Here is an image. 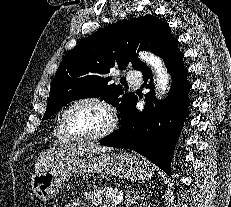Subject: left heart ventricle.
Returning <instances> with one entry per match:
<instances>
[{"instance_id": "b2bd125f", "label": "left heart ventricle", "mask_w": 231, "mask_h": 207, "mask_svg": "<svg viewBox=\"0 0 231 207\" xmlns=\"http://www.w3.org/2000/svg\"><path fill=\"white\" fill-rule=\"evenodd\" d=\"M71 130L78 136H92L108 124L106 112L98 105L82 103L75 106L68 116Z\"/></svg>"}]
</instances>
